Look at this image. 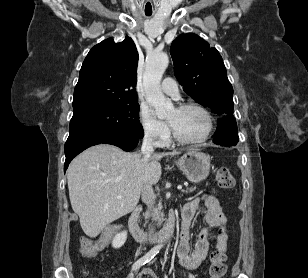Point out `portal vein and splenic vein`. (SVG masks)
I'll list each match as a JSON object with an SVG mask.
<instances>
[{"mask_svg":"<svg viewBox=\"0 0 308 278\" xmlns=\"http://www.w3.org/2000/svg\"><path fill=\"white\" fill-rule=\"evenodd\" d=\"M177 189H178V190H182V185H178ZM117 198H118V199H121L122 196H121V195H118Z\"/></svg>","mask_w":308,"mask_h":278,"instance_id":"18ae733b","label":"portal vein and splenic vein"}]
</instances>
